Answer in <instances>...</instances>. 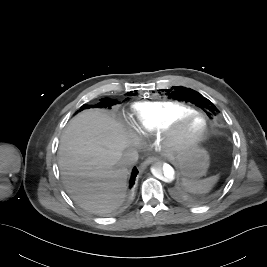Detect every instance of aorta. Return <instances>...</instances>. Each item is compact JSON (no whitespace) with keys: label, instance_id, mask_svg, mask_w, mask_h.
I'll list each match as a JSON object with an SVG mask.
<instances>
[{"label":"aorta","instance_id":"obj_1","mask_svg":"<svg viewBox=\"0 0 267 267\" xmlns=\"http://www.w3.org/2000/svg\"><path fill=\"white\" fill-rule=\"evenodd\" d=\"M151 172L154 177L164 182H170L175 177L174 168L162 161H156L153 163L151 166Z\"/></svg>","mask_w":267,"mask_h":267}]
</instances>
